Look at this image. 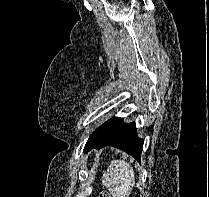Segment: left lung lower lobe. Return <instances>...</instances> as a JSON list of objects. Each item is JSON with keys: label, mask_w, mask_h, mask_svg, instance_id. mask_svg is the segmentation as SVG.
Segmentation results:
<instances>
[{"label": "left lung lower lobe", "mask_w": 209, "mask_h": 197, "mask_svg": "<svg viewBox=\"0 0 209 197\" xmlns=\"http://www.w3.org/2000/svg\"><path fill=\"white\" fill-rule=\"evenodd\" d=\"M143 143L144 140L137 136L134 122L126 124L123 118L113 117L90 135L84 152L110 145L125 151L140 162Z\"/></svg>", "instance_id": "obj_1"}]
</instances>
